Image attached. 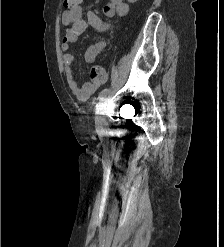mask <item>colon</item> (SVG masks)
Listing matches in <instances>:
<instances>
[{
	"label": "colon",
	"mask_w": 224,
	"mask_h": 247,
	"mask_svg": "<svg viewBox=\"0 0 224 247\" xmlns=\"http://www.w3.org/2000/svg\"><path fill=\"white\" fill-rule=\"evenodd\" d=\"M84 0H64V7L69 10L80 6ZM105 68L101 64H95L91 68V77L94 82H101L105 79Z\"/></svg>",
	"instance_id": "obj_1"
}]
</instances>
